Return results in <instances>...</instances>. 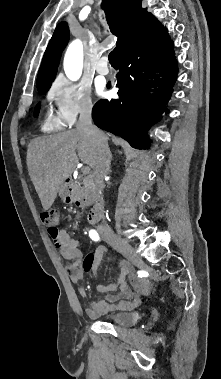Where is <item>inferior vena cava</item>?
Segmentation results:
<instances>
[{
  "instance_id": "obj_1",
  "label": "inferior vena cava",
  "mask_w": 221,
  "mask_h": 379,
  "mask_svg": "<svg viewBox=\"0 0 221 379\" xmlns=\"http://www.w3.org/2000/svg\"><path fill=\"white\" fill-rule=\"evenodd\" d=\"M76 128L93 136L97 142L98 152L93 174L96 184L100 188H104V178L108 174L110 168L111 152L103 132L92 124L90 104L82 107Z\"/></svg>"
}]
</instances>
